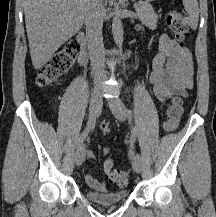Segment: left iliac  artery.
Listing matches in <instances>:
<instances>
[{"label": "left iliac artery", "mask_w": 216, "mask_h": 217, "mask_svg": "<svg viewBox=\"0 0 216 217\" xmlns=\"http://www.w3.org/2000/svg\"><path fill=\"white\" fill-rule=\"evenodd\" d=\"M127 114L130 118L133 117V113L130 109H127ZM136 137H137V130H136V127H134L131 131V138H130V147H129V155L131 158H135V140H136Z\"/></svg>", "instance_id": "left-iliac-artery-1"}]
</instances>
